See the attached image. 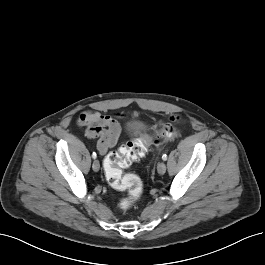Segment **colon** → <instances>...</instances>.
Returning <instances> with one entry per match:
<instances>
[{"label": "colon", "instance_id": "obj_1", "mask_svg": "<svg viewBox=\"0 0 265 265\" xmlns=\"http://www.w3.org/2000/svg\"><path fill=\"white\" fill-rule=\"evenodd\" d=\"M175 132L176 128L172 124H163L160 127L158 138L170 137ZM158 142V139L149 142L137 137L106 157L104 170L108 183L116 190L128 192V197L122 201L124 205H130L141 197L143 183L137 175L132 173L124 174L123 170L142 157L148 145L157 144Z\"/></svg>", "mask_w": 265, "mask_h": 265}]
</instances>
